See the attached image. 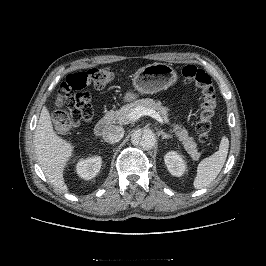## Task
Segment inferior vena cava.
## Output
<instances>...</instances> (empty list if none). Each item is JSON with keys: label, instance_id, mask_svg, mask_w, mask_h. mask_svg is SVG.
<instances>
[{"label": "inferior vena cava", "instance_id": "inferior-vena-cava-1", "mask_svg": "<svg viewBox=\"0 0 266 266\" xmlns=\"http://www.w3.org/2000/svg\"><path fill=\"white\" fill-rule=\"evenodd\" d=\"M124 136V129L121 126H109L103 135L106 142L114 144L119 142Z\"/></svg>", "mask_w": 266, "mask_h": 266}]
</instances>
